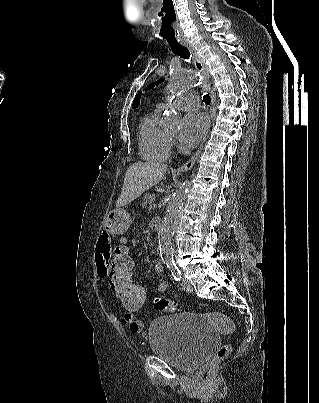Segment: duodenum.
<instances>
[{"instance_id":"1","label":"duodenum","mask_w":319,"mask_h":403,"mask_svg":"<svg viewBox=\"0 0 319 403\" xmlns=\"http://www.w3.org/2000/svg\"><path fill=\"white\" fill-rule=\"evenodd\" d=\"M161 224H162V222L160 219H158V218L152 219V221H151L152 230L159 231L161 229Z\"/></svg>"}]
</instances>
